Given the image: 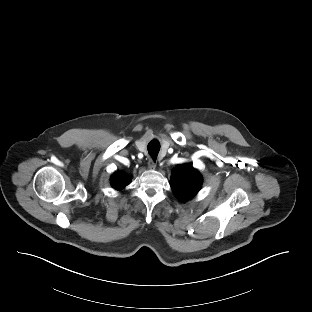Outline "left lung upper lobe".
<instances>
[{"label":"left lung upper lobe","instance_id":"left-lung-upper-lobe-1","mask_svg":"<svg viewBox=\"0 0 312 312\" xmlns=\"http://www.w3.org/2000/svg\"><path fill=\"white\" fill-rule=\"evenodd\" d=\"M202 177L191 166L178 165L172 170L171 188L183 202L192 198L200 190Z\"/></svg>","mask_w":312,"mask_h":312}]
</instances>
